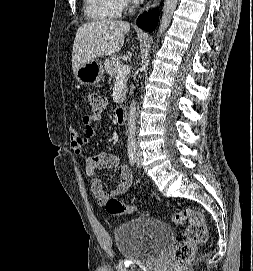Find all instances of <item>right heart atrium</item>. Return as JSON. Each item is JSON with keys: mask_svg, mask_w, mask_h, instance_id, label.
Masks as SVG:
<instances>
[{"mask_svg": "<svg viewBox=\"0 0 253 271\" xmlns=\"http://www.w3.org/2000/svg\"><path fill=\"white\" fill-rule=\"evenodd\" d=\"M119 2L121 3L122 7H126L129 4H131L132 0H119Z\"/></svg>", "mask_w": 253, "mask_h": 271, "instance_id": "1", "label": "right heart atrium"}]
</instances>
